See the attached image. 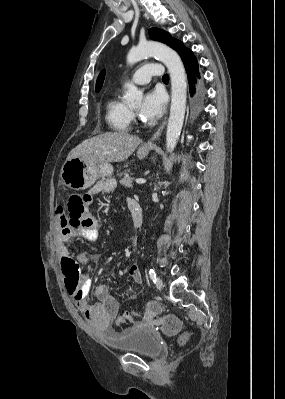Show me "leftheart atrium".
Masks as SVG:
<instances>
[{
    "label": "left heart atrium",
    "instance_id": "39dd6f15",
    "mask_svg": "<svg viewBox=\"0 0 285 399\" xmlns=\"http://www.w3.org/2000/svg\"><path fill=\"white\" fill-rule=\"evenodd\" d=\"M165 106L166 98L164 94L158 89H153L144 95L140 114L146 120H156L163 114Z\"/></svg>",
    "mask_w": 285,
    "mask_h": 399
}]
</instances>
